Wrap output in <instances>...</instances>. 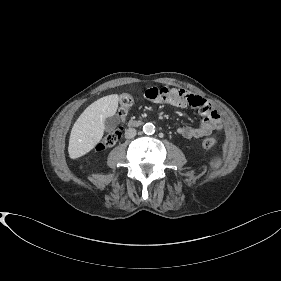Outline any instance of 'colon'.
Wrapping results in <instances>:
<instances>
[{
	"label": "colon",
	"mask_w": 281,
	"mask_h": 281,
	"mask_svg": "<svg viewBox=\"0 0 281 281\" xmlns=\"http://www.w3.org/2000/svg\"><path fill=\"white\" fill-rule=\"evenodd\" d=\"M133 104V96L129 93L122 94L119 98V115L122 119L127 115L130 107ZM122 136L121 129H117L108 133L105 137L96 145V151H103L104 149L115 145ZM202 146L206 149H214L218 146V142L214 138H206L202 141Z\"/></svg>",
	"instance_id": "colon-1"
}]
</instances>
